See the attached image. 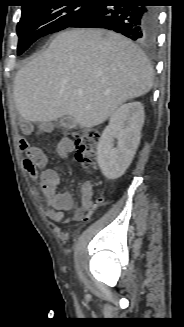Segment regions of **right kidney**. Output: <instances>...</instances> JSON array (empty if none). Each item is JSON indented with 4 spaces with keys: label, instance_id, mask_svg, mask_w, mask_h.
<instances>
[{
    "label": "right kidney",
    "instance_id": "right-kidney-1",
    "mask_svg": "<svg viewBox=\"0 0 184 327\" xmlns=\"http://www.w3.org/2000/svg\"><path fill=\"white\" fill-rule=\"evenodd\" d=\"M143 124L144 107L137 101L120 106L112 114L97 147V161L105 177L116 179L124 174L140 143Z\"/></svg>",
    "mask_w": 184,
    "mask_h": 327
}]
</instances>
